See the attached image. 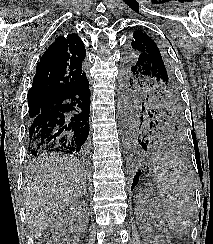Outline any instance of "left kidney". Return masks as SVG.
Masks as SVG:
<instances>
[{
  "instance_id": "5707ae66",
  "label": "left kidney",
  "mask_w": 213,
  "mask_h": 244,
  "mask_svg": "<svg viewBox=\"0 0 213 244\" xmlns=\"http://www.w3.org/2000/svg\"><path fill=\"white\" fill-rule=\"evenodd\" d=\"M136 216L140 231L147 235L149 244H171L168 230L158 216L157 201L152 198V193L143 190L136 200Z\"/></svg>"
}]
</instances>
